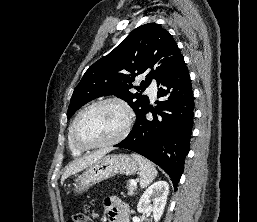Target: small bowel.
<instances>
[{"label":"small bowel","mask_w":257,"mask_h":222,"mask_svg":"<svg viewBox=\"0 0 257 222\" xmlns=\"http://www.w3.org/2000/svg\"><path fill=\"white\" fill-rule=\"evenodd\" d=\"M110 222H129L127 205L115 197H107L104 203Z\"/></svg>","instance_id":"c3829d8e"}]
</instances>
